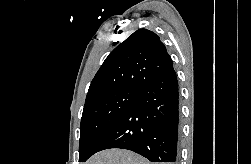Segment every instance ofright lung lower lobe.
<instances>
[{
  "mask_svg": "<svg viewBox=\"0 0 251 164\" xmlns=\"http://www.w3.org/2000/svg\"><path fill=\"white\" fill-rule=\"evenodd\" d=\"M180 137L179 90L172 67L139 88L136 101L101 137L91 152L134 151L151 162H175Z\"/></svg>",
  "mask_w": 251,
  "mask_h": 164,
  "instance_id": "1",
  "label": "right lung lower lobe"
}]
</instances>
